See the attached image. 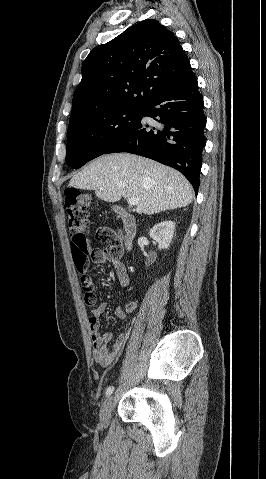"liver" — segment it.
I'll use <instances>...</instances> for the list:
<instances>
[{
	"instance_id": "6515ba94",
	"label": "liver",
	"mask_w": 266,
	"mask_h": 479,
	"mask_svg": "<svg viewBox=\"0 0 266 479\" xmlns=\"http://www.w3.org/2000/svg\"><path fill=\"white\" fill-rule=\"evenodd\" d=\"M70 187L93 190L108 202L137 197L136 211L151 215L189 205L194 191L177 170L129 153L103 155L72 177Z\"/></svg>"
}]
</instances>
